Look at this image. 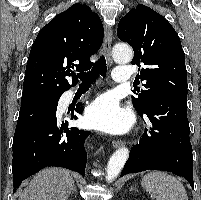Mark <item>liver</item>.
Here are the masks:
<instances>
[{
    "label": "liver",
    "instance_id": "6515ba94",
    "mask_svg": "<svg viewBox=\"0 0 201 200\" xmlns=\"http://www.w3.org/2000/svg\"><path fill=\"white\" fill-rule=\"evenodd\" d=\"M74 180L69 171L61 168H46L37 173L19 200H68Z\"/></svg>",
    "mask_w": 201,
    "mask_h": 200
}]
</instances>
